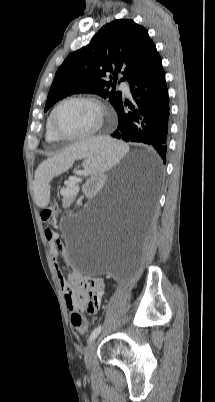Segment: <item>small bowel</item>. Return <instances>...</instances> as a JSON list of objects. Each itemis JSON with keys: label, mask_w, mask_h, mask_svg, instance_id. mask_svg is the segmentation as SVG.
<instances>
[{"label": "small bowel", "mask_w": 215, "mask_h": 402, "mask_svg": "<svg viewBox=\"0 0 215 402\" xmlns=\"http://www.w3.org/2000/svg\"><path fill=\"white\" fill-rule=\"evenodd\" d=\"M68 203V201H65ZM43 219V218H42ZM45 237L48 241L50 255L55 264L59 283L61 285L66 306L71 311H88L92 304L95 307V314L101 305L105 294V283L101 278L85 277L77 271H72L67 278L58 266V258L65 255V247L59 234L52 228L45 230Z\"/></svg>", "instance_id": "1"}]
</instances>
